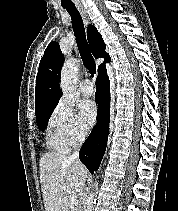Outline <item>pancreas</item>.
Segmentation results:
<instances>
[{"label": "pancreas", "mask_w": 178, "mask_h": 211, "mask_svg": "<svg viewBox=\"0 0 178 211\" xmlns=\"http://www.w3.org/2000/svg\"><path fill=\"white\" fill-rule=\"evenodd\" d=\"M71 211H78V207L73 208Z\"/></svg>", "instance_id": "obj_1"}]
</instances>
